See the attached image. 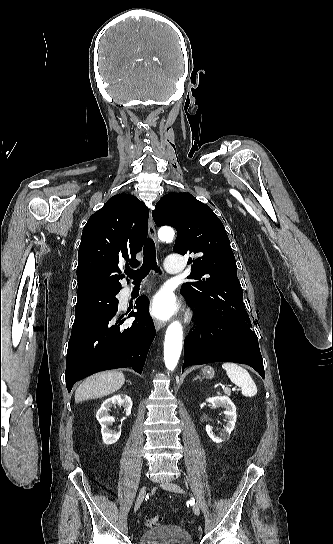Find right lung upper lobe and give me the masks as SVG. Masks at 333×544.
<instances>
[{
  "mask_svg": "<svg viewBox=\"0 0 333 544\" xmlns=\"http://www.w3.org/2000/svg\"><path fill=\"white\" fill-rule=\"evenodd\" d=\"M148 209L135 196L118 194L87 221L78 251V300L119 292L122 262L138 265L148 231Z\"/></svg>",
  "mask_w": 333,
  "mask_h": 544,
  "instance_id": "cb5924a9",
  "label": "right lung upper lobe"
}]
</instances>
